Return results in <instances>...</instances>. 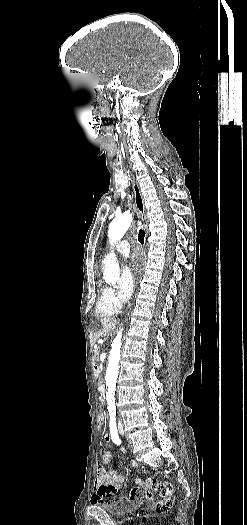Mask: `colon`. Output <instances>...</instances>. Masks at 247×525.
Masks as SVG:
<instances>
[{"instance_id": "colon-1", "label": "colon", "mask_w": 247, "mask_h": 525, "mask_svg": "<svg viewBox=\"0 0 247 525\" xmlns=\"http://www.w3.org/2000/svg\"><path fill=\"white\" fill-rule=\"evenodd\" d=\"M95 424H96V426L98 427V430H99L100 432H103V431L105 430V427H104V426H105V424H106V421H105L104 418H102V417L97 418L96 421H95Z\"/></svg>"}]
</instances>
